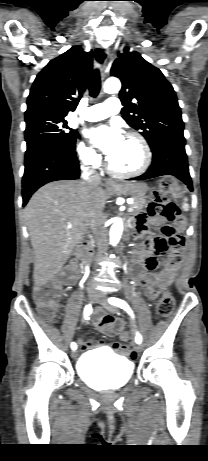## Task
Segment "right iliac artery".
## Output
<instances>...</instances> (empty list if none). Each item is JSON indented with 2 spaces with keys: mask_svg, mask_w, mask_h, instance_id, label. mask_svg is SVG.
Returning <instances> with one entry per match:
<instances>
[{
  "mask_svg": "<svg viewBox=\"0 0 208 461\" xmlns=\"http://www.w3.org/2000/svg\"><path fill=\"white\" fill-rule=\"evenodd\" d=\"M91 313H92V307H91V305H86V307H85V309H84V315H85L86 317H88ZM71 348H72V350H76V348H77L76 343L73 342V343L71 344Z\"/></svg>",
  "mask_w": 208,
  "mask_h": 461,
  "instance_id": "82829eb1",
  "label": "right iliac artery"
}]
</instances>
